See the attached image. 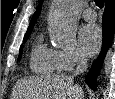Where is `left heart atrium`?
Listing matches in <instances>:
<instances>
[{"mask_svg": "<svg viewBox=\"0 0 115 99\" xmlns=\"http://www.w3.org/2000/svg\"><path fill=\"white\" fill-rule=\"evenodd\" d=\"M80 47L86 55H92L98 51L101 41L102 32L98 25L88 24L84 26L79 34Z\"/></svg>", "mask_w": 115, "mask_h": 99, "instance_id": "obj_1", "label": "left heart atrium"}]
</instances>
